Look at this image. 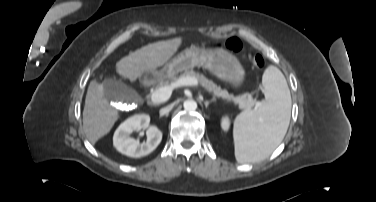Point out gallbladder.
<instances>
[{
    "instance_id": "obj_1",
    "label": "gallbladder",
    "mask_w": 376,
    "mask_h": 202,
    "mask_svg": "<svg viewBox=\"0 0 376 202\" xmlns=\"http://www.w3.org/2000/svg\"><path fill=\"white\" fill-rule=\"evenodd\" d=\"M104 97L115 103H131L136 101L137 94L134 89L127 86L120 80L105 79L102 83Z\"/></svg>"
}]
</instances>
